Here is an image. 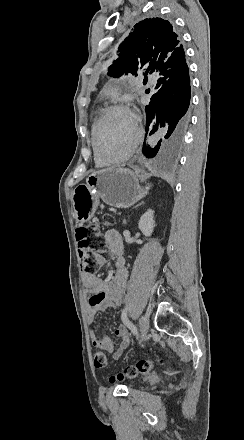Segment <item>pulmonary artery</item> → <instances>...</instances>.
<instances>
[{
    "label": "pulmonary artery",
    "instance_id": "1",
    "mask_svg": "<svg viewBox=\"0 0 244 440\" xmlns=\"http://www.w3.org/2000/svg\"><path fill=\"white\" fill-rule=\"evenodd\" d=\"M105 97L106 98H112L113 97V92L112 91H106L105 92Z\"/></svg>",
    "mask_w": 244,
    "mask_h": 440
}]
</instances>
